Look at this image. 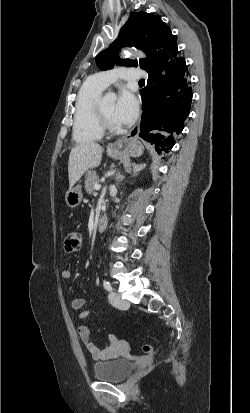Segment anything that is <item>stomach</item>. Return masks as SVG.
Instances as JSON below:
<instances>
[{
	"label": "stomach",
	"mask_w": 250,
	"mask_h": 413,
	"mask_svg": "<svg viewBox=\"0 0 250 413\" xmlns=\"http://www.w3.org/2000/svg\"><path fill=\"white\" fill-rule=\"evenodd\" d=\"M143 146L142 144L135 140V139H131L126 147L124 152L127 154H130L133 157H137L140 156L143 153ZM119 154V152H110L108 151V155L110 157H115ZM83 199V194H82V189H81V185H77L73 188H70L66 194H65V201L66 204L70 207V208H75L77 207Z\"/></svg>",
	"instance_id": "0dacf381"
}]
</instances>
